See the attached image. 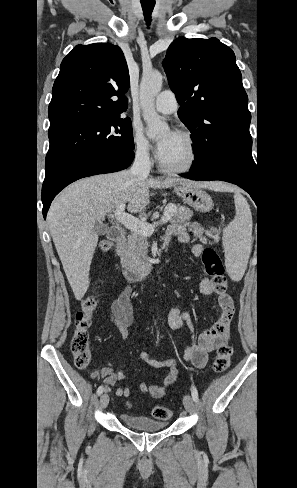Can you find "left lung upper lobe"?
<instances>
[{"label": "left lung upper lobe", "instance_id": "5c2ea615", "mask_svg": "<svg viewBox=\"0 0 297 488\" xmlns=\"http://www.w3.org/2000/svg\"><path fill=\"white\" fill-rule=\"evenodd\" d=\"M163 66L194 142L191 168L227 161L255 171L248 97L232 49L217 38L180 37L169 46Z\"/></svg>", "mask_w": 297, "mask_h": 488}]
</instances>
